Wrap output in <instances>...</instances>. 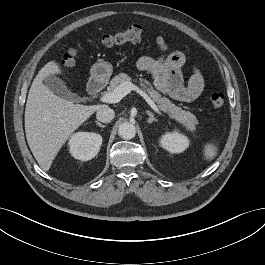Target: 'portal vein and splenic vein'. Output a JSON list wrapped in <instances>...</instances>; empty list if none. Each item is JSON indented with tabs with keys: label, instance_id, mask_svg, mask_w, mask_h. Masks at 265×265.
<instances>
[{
	"label": "portal vein and splenic vein",
	"instance_id": "18ae733b",
	"mask_svg": "<svg viewBox=\"0 0 265 265\" xmlns=\"http://www.w3.org/2000/svg\"><path fill=\"white\" fill-rule=\"evenodd\" d=\"M132 90L139 93L155 112L161 114L159 108L156 106L154 101L148 96V94L142 91L136 85L132 84L131 82H123L113 92L105 93L100 97V101L106 103H117Z\"/></svg>",
	"mask_w": 265,
	"mask_h": 265
}]
</instances>
